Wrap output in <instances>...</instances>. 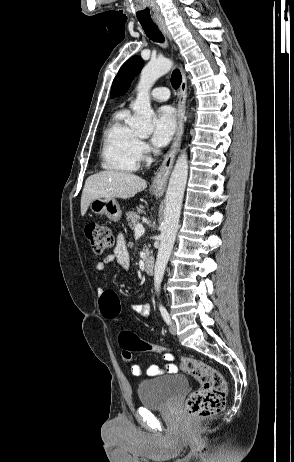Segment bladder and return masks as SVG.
Returning <instances> with one entry per match:
<instances>
[{
    "instance_id": "bladder-1",
    "label": "bladder",
    "mask_w": 294,
    "mask_h": 462,
    "mask_svg": "<svg viewBox=\"0 0 294 462\" xmlns=\"http://www.w3.org/2000/svg\"><path fill=\"white\" fill-rule=\"evenodd\" d=\"M187 389L186 377L175 374L139 382L137 395L143 407L161 409L178 400Z\"/></svg>"
}]
</instances>
